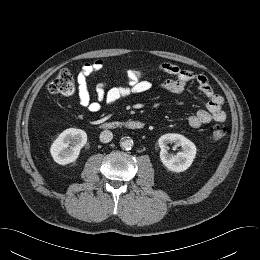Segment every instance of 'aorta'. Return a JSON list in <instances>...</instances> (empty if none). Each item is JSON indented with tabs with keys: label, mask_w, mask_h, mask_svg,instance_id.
I'll return each instance as SVG.
<instances>
[{
	"label": "aorta",
	"mask_w": 260,
	"mask_h": 260,
	"mask_svg": "<svg viewBox=\"0 0 260 260\" xmlns=\"http://www.w3.org/2000/svg\"><path fill=\"white\" fill-rule=\"evenodd\" d=\"M120 147L124 150H130L133 147V140L131 138H123L120 141Z\"/></svg>",
	"instance_id": "762f6f07"
}]
</instances>
